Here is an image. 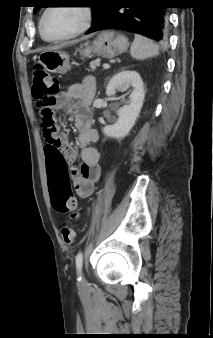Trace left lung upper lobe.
I'll return each mask as SVG.
<instances>
[{"label": "left lung upper lobe", "mask_w": 213, "mask_h": 338, "mask_svg": "<svg viewBox=\"0 0 213 338\" xmlns=\"http://www.w3.org/2000/svg\"><path fill=\"white\" fill-rule=\"evenodd\" d=\"M101 1L102 0H93L91 3L94 4L93 6V18L95 19L99 13L100 7H101ZM40 7H34V14L38 11Z\"/></svg>", "instance_id": "5c2ea615"}]
</instances>
